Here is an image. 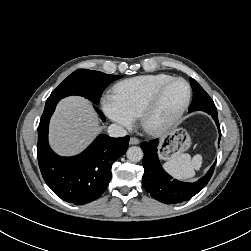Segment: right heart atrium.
<instances>
[{
  "label": "right heart atrium",
  "instance_id": "d8ad5b80",
  "mask_svg": "<svg viewBox=\"0 0 251 251\" xmlns=\"http://www.w3.org/2000/svg\"><path fill=\"white\" fill-rule=\"evenodd\" d=\"M101 105L108 118L124 128H132L135 118L120 105L115 95L105 94L102 97Z\"/></svg>",
  "mask_w": 251,
  "mask_h": 251
}]
</instances>
